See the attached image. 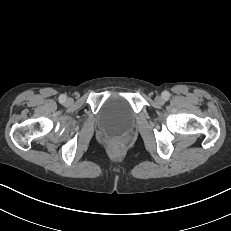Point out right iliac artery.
<instances>
[{
    "instance_id": "right-iliac-artery-1",
    "label": "right iliac artery",
    "mask_w": 231,
    "mask_h": 231,
    "mask_svg": "<svg viewBox=\"0 0 231 231\" xmlns=\"http://www.w3.org/2000/svg\"><path fill=\"white\" fill-rule=\"evenodd\" d=\"M59 101H60L61 103H64V102L66 101V95H61V96L59 97Z\"/></svg>"
}]
</instances>
